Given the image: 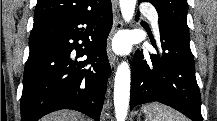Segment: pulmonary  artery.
Masks as SVG:
<instances>
[{
    "label": "pulmonary artery",
    "instance_id": "1",
    "mask_svg": "<svg viewBox=\"0 0 217 121\" xmlns=\"http://www.w3.org/2000/svg\"><path fill=\"white\" fill-rule=\"evenodd\" d=\"M141 12L149 18L154 28V31L158 34L159 33V17L157 13L154 12L153 9L150 8L149 6H142Z\"/></svg>",
    "mask_w": 217,
    "mask_h": 121
}]
</instances>
